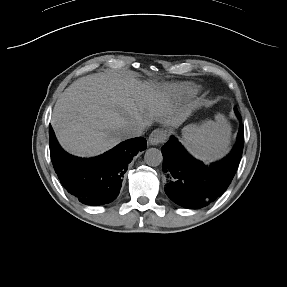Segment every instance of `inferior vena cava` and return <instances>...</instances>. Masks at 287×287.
I'll return each mask as SVG.
<instances>
[{"label":"inferior vena cava","mask_w":287,"mask_h":287,"mask_svg":"<svg viewBox=\"0 0 287 287\" xmlns=\"http://www.w3.org/2000/svg\"><path fill=\"white\" fill-rule=\"evenodd\" d=\"M146 123L144 122H132L123 127L122 132L126 139L135 138L143 135L146 128Z\"/></svg>","instance_id":"602c4592"}]
</instances>
